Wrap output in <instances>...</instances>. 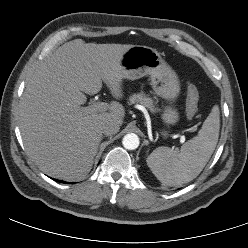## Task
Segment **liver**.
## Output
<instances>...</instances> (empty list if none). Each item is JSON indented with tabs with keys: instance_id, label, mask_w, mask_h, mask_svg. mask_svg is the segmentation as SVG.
Here are the masks:
<instances>
[{
	"instance_id": "6515ba94",
	"label": "liver",
	"mask_w": 248,
	"mask_h": 248,
	"mask_svg": "<svg viewBox=\"0 0 248 248\" xmlns=\"http://www.w3.org/2000/svg\"><path fill=\"white\" fill-rule=\"evenodd\" d=\"M134 45L67 42L32 72L19 106V128L27 154L45 174L75 181L91 170L102 139V124L122 125L125 109L111 102L109 112H91L86 96L104 82L121 98L125 72L120 59Z\"/></svg>"
}]
</instances>
